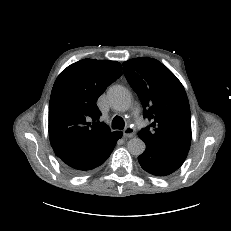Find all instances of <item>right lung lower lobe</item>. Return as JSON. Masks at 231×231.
Segmentation results:
<instances>
[{
    "mask_svg": "<svg viewBox=\"0 0 231 231\" xmlns=\"http://www.w3.org/2000/svg\"><path fill=\"white\" fill-rule=\"evenodd\" d=\"M122 132H116L105 142L87 149L58 152L56 155L72 173H84L103 164L113 151Z\"/></svg>",
    "mask_w": 231,
    "mask_h": 231,
    "instance_id": "98d812e1",
    "label": "right lung lower lobe"
}]
</instances>
